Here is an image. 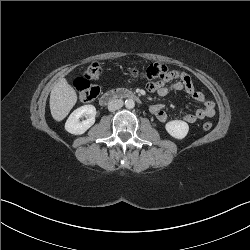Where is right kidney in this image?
I'll return each instance as SVG.
<instances>
[{
    "mask_svg": "<svg viewBox=\"0 0 250 250\" xmlns=\"http://www.w3.org/2000/svg\"><path fill=\"white\" fill-rule=\"evenodd\" d=\"M96 108L93 105H84L74 110L65 123L67 132L74 135L85 133L95 122ZM86 116L87 119L80 122L79 118Z\"/></svg>",
    "mask_w": 250,
    "mask_h": 250,
    "instance_id": "ca27d5eb",
    "label": "right kidney"
}]
</instances>
